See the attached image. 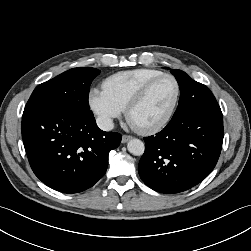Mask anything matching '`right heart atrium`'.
I'll return each mask as SVG.
<instances>
[{
	"mask_svg": "<svg viewBox=\"0 0 251 251\" xmlns=\"http://www.w3.org/2000/svg\"><path fill=\"white\" fill-rule=\"evenodd\" d=\"M88 102L98 124L104 129L111 128L114 119L118 118L123 111L104 89L92 88L89 92Z\"/></svg>",
	"mask_w": 251,
	"mask_h": 251,
	"instance_id": "obj_1",
	"label": "right heart atrium"
}]
</instances>
